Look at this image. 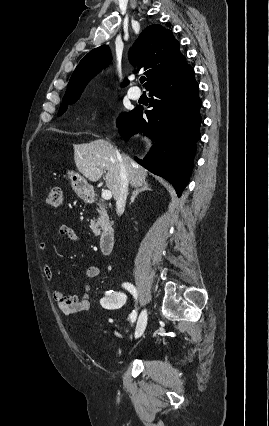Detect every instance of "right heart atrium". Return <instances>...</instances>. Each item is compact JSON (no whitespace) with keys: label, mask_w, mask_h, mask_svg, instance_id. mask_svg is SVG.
Listing matches in <instances>:
<instances>
[{"label":"right heart atrium","mask_w":269,"mask_h":426,"mask_svg":"<svg viewBox=\"0 0 269 426\" xmlns=\"http://www.w3.org/2000/svg\"><path fill=\"white\" fill-rule=\"evenodd\" d=\"M106 107L104 104H98L95 109V120L97 122L103 121L106 116Z\"/></svg>","instance_id":"right-heart-atrium-1"}]
</instances>
